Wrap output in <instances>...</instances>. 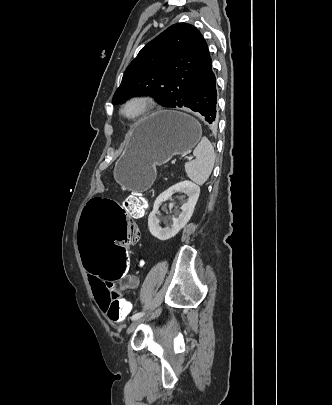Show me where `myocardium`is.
<instances>
[{
  "instance_id": "myocardium-1",
  "label": "myocardium",
  "mask_w": 332,
  "mask_h": 405,
  "mask_svg": "<svg viewBox=\"0 0 332 405\" xmlns=\"http://www.w3.org/2000/svg\"><path fill=\"white\" fill-rule=\"evenodd\" d=\"M132 105H138L139 109L129 114L127 109ZM155 100L148 94H135L124 100L120 106V115L127 121L136 122L146 118L153 110Z\"/></svg>"
}]
</instances>
